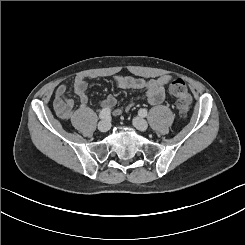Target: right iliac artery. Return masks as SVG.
<instances>
[{"instance_id": "obj_1", "label": "right iliac artery", "mask_w": 245, "mask_h": 245, "mask_svg": "<svg viewBox=\"0 0 245 245\" xmlns=\"http://www.w3.org/2000/svg\"><path fill=\"white\" fill-rule=\"evenodd\" d=\"M110 116V109L104 108L99 114V118L104 120L107 119Z\"/></svg>"}]
</instances>
